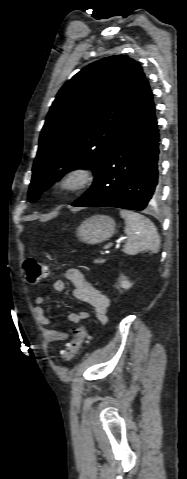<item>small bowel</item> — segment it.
Returning a JSON list of instances; mask_svg holds the SVG:
<instances>
[{
  "mask_svg": "<svg viewBox=\"0 0 187 479\" xmlns=\"http://www.w3.org/2000/svg\"><path fill=\"white\" fill-rule=\"evenodd\" d=\"M66 278L74 285L72 296L74 299L89 304L93 307L97 320L104 324L107 321V313L110 307L109 298L99 289L93 286L86 275L76 268L68 269ZM66 289L63 280H56L53 284V290L56 293H62ZM45 295H38L35 298L34 314L40 324L44 326V332L47 339L56 342L64 338V333L49 327L50 320L45 315L43 305L46 303ZM89 318L87 311L74 312L69 315V320L79 324Z\"/></svg>",
  "mask_w": 187,
  "mask_h": 479,
  "instance_id": "c3829d8e",
  "label": "small bowel"
}]
</instances>
